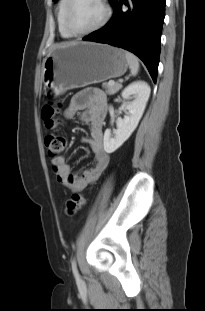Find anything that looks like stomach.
<instances>
[{"instance_id":"1","label":"stomach","mask_w":205,"mask_h":311,"mask_svg":"<svg viewBox=\"0 0 205 311\" xmlns=\"http://www.w3.org/2000/svg\"><path fill=\"white\" fill-rule=\"evenodd\" d=\"M128 62L123 49L76 42L53 48L43 62L44 90L55 96L67 90L122 76Z\"/></svg>"}]
</instances>
